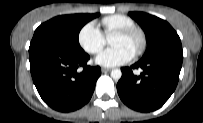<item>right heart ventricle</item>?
Instances as JSON below:
<instances>
[{"instance_id":"1","label":"right heart ventricle","mask_w":203,"mask_h":123,"mask_svg":"<svg viewBox=\"0 0 203 123\" xmlns=\"http://www.w3.org/2000/svg\"><path fill=\"white\" fill-rule=\"evenodd\" d=\"M102 25L107 35L119 29L135 27V23L130 17L121 14L110 15L103 18Z\"/></svg>"}]
</instances>
